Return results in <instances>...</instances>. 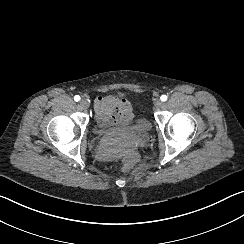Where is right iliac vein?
<instances>
[{
  "mask_svg": "<svg viewBox=\"0 0 244 244\" xmlns=\"http://www.w3.org/2000/svg\"><path fill=\"white\" fill-rule=\"evenodd\" d=\"M79 105L82 107V108H88L89 107V103L86 99H82L80 100L79 102Z\"/></svg>",
  "mask_w": 244,
  "mask_h": 244,
  "instance_id": "right-iliac-vein-1",
  "label": "right iliac vein"
}]
</instances>
